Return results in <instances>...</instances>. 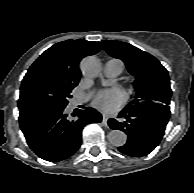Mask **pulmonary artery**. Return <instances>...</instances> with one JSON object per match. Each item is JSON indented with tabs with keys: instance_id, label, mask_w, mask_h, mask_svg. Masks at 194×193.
Segmentation results:
<instances>
[{
	"instance_id": "pulmonary-artery-1",
	"label": "pulmonary artery",
	"mask_w": 194,
	"mask_h": 193,
	"mask_svg": "<svg viewBox=\"0 0 194 193\" xmlns=\"http://www.w3.org/2000/svg\"><path fill=\"white\" fill-rule=\"evenodd\" d=\"M123 71V63L118 59L108 60L104 65V75L107 78H114L121 74ZM82 99H78L77 102H81Z\"/></svg>"
}]
</instances>
